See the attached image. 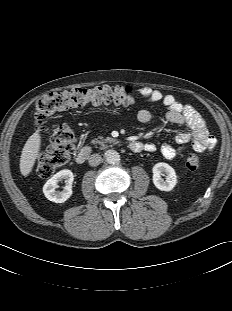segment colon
I'll use <instances>...</instances> for the list:
<instances>
[{
  "instance_id": "obj_1",
  "label": "colon",
  "mask_w": 232,
  "mask_h": 311,
  "mask_svg": "<svg viewBox=\"0 0 232 311\" xmlns=\"http://www.w3.org/2000/svg\"><path fill=\"white\" fill-rule=\"evenodd\" d=\"M135 102L134 92L125 86H101L90 89L74 88L55 92L40 98L35 104L34 119L38 129L44 130L45 121L57 112L66 111L87 103H114L123 106ZM49 147L38 158L36 171L40 177L51 176L58 168L65 166L75 149V134L65 124L52 126L48 130ZM200 164L199 156L192 152L186 158V167L195 171Z\"/></svg>"
}]
</instances>
